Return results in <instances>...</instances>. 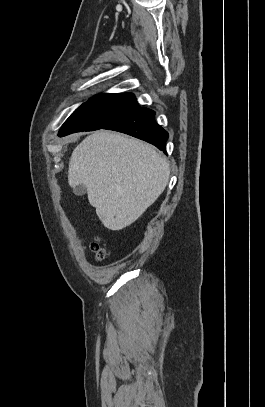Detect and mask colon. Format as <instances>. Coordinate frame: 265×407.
I'll use <instances>...</instances> for the list:
<instances>
[{
    "label": "colon",
    "mask_w": 265,
    "mask_h": 407,
    "mask_svg": "<svg viewBox=\"0 0 265 407\" xmlns=\"http://www.w3.org/2000/svg\"><path fill=\"white\" fill-rule=\"evenodd\" d=\"M89 249L96 260H103L108 255L107 250L101 246L100 240L98 238H94L92 240Z\"/></svg>",
    "instance_id": "5ec220e1"
}]
</instances>
